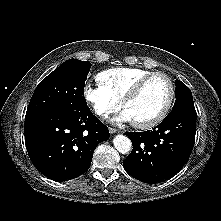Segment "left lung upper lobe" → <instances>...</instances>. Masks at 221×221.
<instances>
[{"mask_svg": "<svg viewBox=\"0 0 221 221\" xmlns=\"http://www.w3.org/2000/svg\"><path fill=\"white\" fill-rule=\"evenodd\" d=\"M176 100L172 111L176 110H195L193 97L190 89L180 80L175 81Z\"/></svg>", "mask_w": 221, "mask_h": 221, "instance_id": "1", "label": "left lung upper lobe"}]
</instances>
